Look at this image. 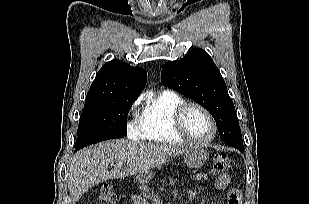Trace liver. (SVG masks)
I'll return each mask as SVG.
<instances>
[{"label": "liver", "mask_w": 309, "mask_h": 204, "mask_svg": "<svg viewBox=\"0 0 309 204\" xmlns=\"http://www.w3.org/2000/svg\"><path fill=\"white\" fill-rule=\"evenodd\" d=\"M188 149L127 139L110 140L83 148L68 164V189L74 202L94 185L109 179L144 173ZM109 164L113 165L111 171Z\"/></svg>", "instance_id": "6515ba94"}]
</instances>
